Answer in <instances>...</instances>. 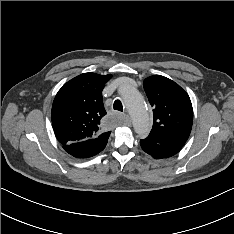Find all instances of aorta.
I'll return each instance as SVG.
<instances>
[{"label":"aorta","mask_w":234,"mask_h":234,"mask_svg":"<svg viewBox=\"0 0 234 234\" xmlns=\"http://www.w3.org/2000/svg\"><path fill=\"white\" fill-rule=\"evenodd\" d=\"M121 96L131 115L133 127L137 134L147 136L150 131L149 115L142 95L132 86H124Z\"/></svg>","instance_id":"aorta-1"}]
</instances>
